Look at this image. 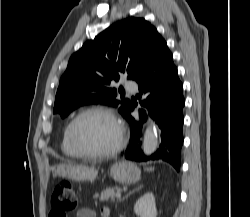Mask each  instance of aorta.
Instances as JSON below:
<instances>
[{"instance_id":"1","label":"aorta","mask_w":250,"mask_h":217,"mask_svg":"<svg viewBox=\"0 0 250 217\" xmlns=\"http://www.w3.org/2000/svg\"><path fill=\"white\" fill-rule=\"evenodd\" d=\"M158 147V135L157 130L155 126H149L147 127L145 134H144V140H143V152L146 155H151L156 151Z\"/></svg>"}]
</instances>
